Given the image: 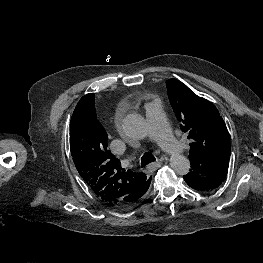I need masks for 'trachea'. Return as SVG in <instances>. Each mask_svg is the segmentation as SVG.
Returning a JSON list of instances; mask_svg holds the SVG:
<instances>
[{"label":"trachea","instance_id":"1","mask_svg":"<svg viewBox=\"0 0 263 263\" xmlns=\"http://www.w3.org/2000/svg\"><path fill=\"white\" fill-rule=\"evenodd\" d=\"M156 159L151 153H145L141 158V166L145 167L151 162H154Z\"/></svg>","mask_w":263,"mask_h":263}]
</instances>
